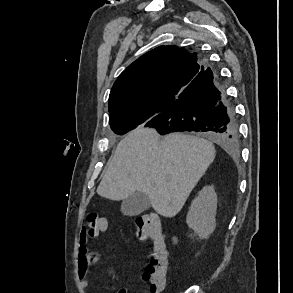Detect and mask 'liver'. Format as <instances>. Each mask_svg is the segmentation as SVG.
<instances>
[{
    "label": "liver",
    "mask_w": 293,
    "mask_h": 293,
    "mask_svg": "<svg viewBox=\"0 0 293 293\" xmlns=\"http://www.w3.org/2000/svg\"><path fill=\"white\" fill-rule=\"evenodd\" d=\"M214 158L215 148L206 139L182 133L161 138L155 129L141 126L118 144L97 193L119 201L142 192L158 214L171 218Z\"/></svg>",
    "instance_id": "6515ba94"
}]
</instances>
